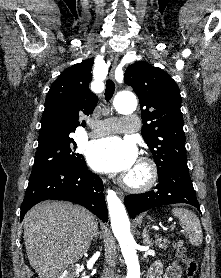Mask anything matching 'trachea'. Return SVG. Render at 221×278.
<instances>
[{
	"label": "trachea",
	"instance_id": "3493384b",
	"mask_svg": "<svg viewBox=\"0 0 221 278\" xmlns=\"http://www.w3.org/2000/svg\"><path fill=\"white\" fill-rule=\"evenodd\" d=\"M115 91V84L111 79L106 81L105 100L110 101Z\"/></svg>",
	"mask_w": 221,
	"mask_h": 278
}]
</instances>
